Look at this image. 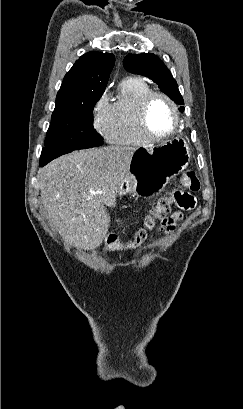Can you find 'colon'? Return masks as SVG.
I'll use <instances>...</instances> for the list:
<instances>
[{
	"label": "colon",
	"instance_id": "colon-1",
	"mask_svg": "<svg viewBox=\"0 0 243 409\" xmlns=\"http://www.w3.org/2000/svg\"><path fill=\"white\" fill-rule=\"evenodd\" d=\"M183 188L196 192L200 189V181L194 171L186 172L180 181ZM188 193L181 189H175L168 195L157 200L150 208L144 219V229L137 231L134 236L127 242H121L114 234L107 236L105 240V249L109 252L133 251L141 246L147 238L148 231L158 228V223L166 219L174 207H187L191 204Z\"/></svg>",
	"mask_w": 243,
	"mask_h": 409
}]
</instances>
